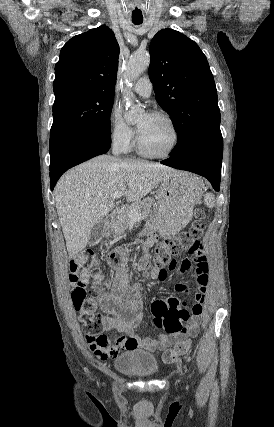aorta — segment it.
<instances>
[{"mask_svg":"<svg viewBox=\"0 0 274 427\" xmlns=\"http://www.w3.org/2000/svg\"><path fill=\"white\" fill-rule=\"evenodd\" d=\"M150 64V55L146 51H138L133 53L128 61L123 79L126 84V88L123 89V97L128 105L132 104L133 93L129 86L135 81L148 67ZM143 113V110L138 106H132L131 110L126 114V119L129 122H133Z\"/></svg>","mask_w":274,"mask_h":427,"instance_id":"aorta-1","label":"aorta"}]
</instances>
